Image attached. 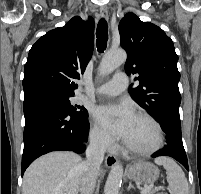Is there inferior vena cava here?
<instances>
[{
  "mask_svg": "<svg viewBox=\"0 0 201 194\" xmlns=\"http://www.w3.org/2000/svg\"><path fill=\"white\" fill-rule=\"evenodd\" d=\"M107 145L108 143L104 136L96 137L90 140V144L86 150L87 159L83 163L84 173L80 185V194L93 193Z\"/></svg>",
  "mask_w": 201,
  "mask_h": 194,
  "instance_id": "1",
  "label": "inferior vena cava"
}]
</instances>
